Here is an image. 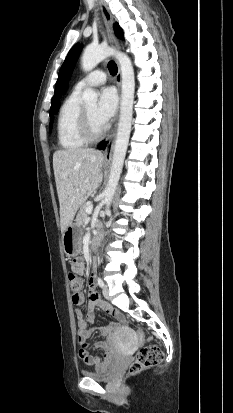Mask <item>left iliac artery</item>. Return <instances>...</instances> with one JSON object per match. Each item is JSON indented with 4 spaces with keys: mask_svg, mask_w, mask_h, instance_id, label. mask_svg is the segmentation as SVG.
Masks as SVG:
<instances>
[{
    "mask_svg": "<svg viewBox=\"0 0 233 413\" xmlns=\"http://www.w3.org/2000/svg\"><path fill=\"white\" fill-rule=\"evenodd\" d=\"M97 282L100 287H104V282L100 277L97 278Z\"/></svg>",
    "mask_w": 233,
    "mask_h": 413,
    "instance_id": "1",
    "label": "left iliac artery"
}]
</instances>
